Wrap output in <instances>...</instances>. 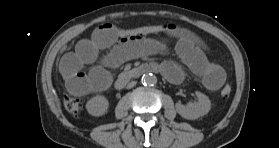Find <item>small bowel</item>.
Instances as JSON below:
<instances>
[{
	"label": "small bowel",
	"instance_id": "obj_1",
	"mask_svg": "<svg viewBox=\"0 0 279 148\" xmlns=\"http://www.w3.org/2000/svg\"><path fill=\"white\" fill-rule=\"evenodd\" d=\"M111 23L97 27L89 38L80 40L73 51L66 52L60 59L59 72L68 91L75 95L106 90L111 84L110 68L126 61L160 54L173 49L181 59L182 65L166 60L158 67L164 76L173 83L184 79L185 69L202 79L208 90H218L226 79L225 71L208 57L206 44L187 28L168 24L173 30H162L161 38L120 37ZM108 50L100 58V53ZM99 63L88 73L84 67Z\"/></svg>",
	"mask_w": 279,
	"mask_h": 148
}]
</instances>
